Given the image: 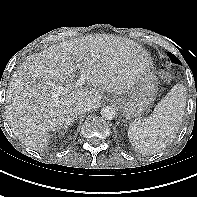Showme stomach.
I'll use <instances>...</instances> for the list:
<instances>
[{"label":"stomach","instance_id":"1","mask_svg":"<svg viewBox=\"0 0 197 197\" xmlns=\"http://www.w3.org/2000/svg\"><path fill=\"white\" fill-rule=\"evenodd\" d=\"M157 91L156 77L150 66L143 70L126 96H114V101L126 120L139 119L153 105Z\"/></svg>","mask_w":197,"mask_h":197}]
</instances>
